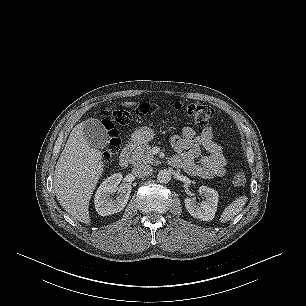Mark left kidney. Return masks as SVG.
<instances>
[{"mask_svg": "<svg viewBox=\"0 0 306 306\" xmlns=\"http://www.w3.org/2000/svg\"><path fill=\"white\" fill-rule=\"evenodd\" d=\"M199 193L205 197V200L197 204L193 198H185V207L190 215L202 221H211L217 210L218 192L212 188L201 186Z\"/></svg>", "mask_w": 306, "mask_h": 306, "instance_id": "1", "label": "left kidney"}]
</instances>
